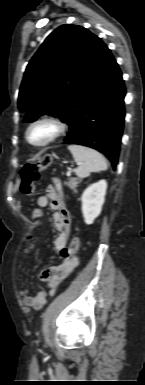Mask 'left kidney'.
<instances>
[{
  "mask_svg": "<svg viewBox=\"0 0 145 385\" xmlns=\"http://www.w3.org/2000/svg\"><path fill=\"white\" fill-rule=\"evenodd\" d=\"M107 182L100 180L91 184L82 194V213L84 221L90 225L100 215L105 201Z\"/></svg>",
  "mask_w": 145,
  "mask_h": 385,
  "instance_id": "obj_1",
  "label": "left kidney"
}]
</instances>
